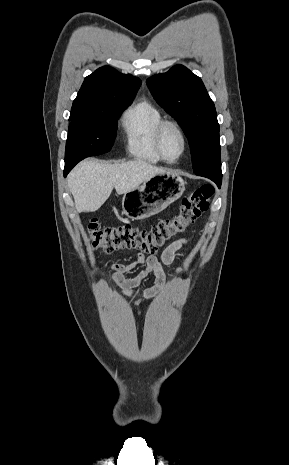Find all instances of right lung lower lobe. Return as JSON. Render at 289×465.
<instances>
[{
    "mask_svg": "<svg viewBox=\"0 0 289 465\" xmlns=\"http://www.w3.org/2000/svg\"><path fill=\"white\" fill-rule=\"evenodd\" d=\"M78 162H79V160H74V161L65 162L64 177L67 176V174L70 172V170H71Z\"/></svg>",
    "mask_w": 289,
    "mask_h": 465,
    "instance_id": "1",
    "label": "right lung lower lobe"
}]
</instances>
